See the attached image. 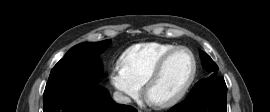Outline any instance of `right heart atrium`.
I'll list each match as a JSON object with an SVG mask.
<instances>
[{"instance_id": "1", "label": "right heart atrium", "mask_w": 270, "mask_h": 112, "mask_svg": "<svg viewBox=\"0 0 270 112\" xmlns=\"http://www.w3.org/2000/svg\"><path fill=\"white\" fill-rule=\"evenodd\" d=\"M110 82L119 92L123 101L139 97L142 91V85L139 84L130 75L127 69L121 63H116L110 71Z\"/></svg>"}]
</instances>
